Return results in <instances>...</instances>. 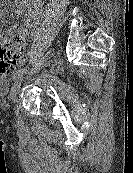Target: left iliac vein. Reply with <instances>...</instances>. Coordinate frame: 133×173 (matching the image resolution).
I'll return each instance as SVG.
<instances>
[{
    "label": "left iliac vein",
    "mask_w": 133,
    "mask_h": 173,
    "mask_svg": "<svg viewBox=\"0 0 133 173\" xmlns=\"http://www.w3.org/2000/svg\"><path fill=\"white\" fill-rule=\"evenodd\" d=\"M21 84H22V78L17 79L16 82L14 83L11 93H10L11 100H13L16 97V95L19 93Z\"/></svg>",
    "instance_id": "4c4485c4"
}]
</instances>
